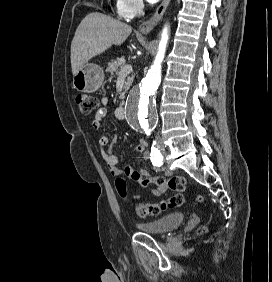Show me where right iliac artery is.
<instances>
[{"mask_svg":"<svg viewBox=\"0 0 272 282\" xmlns=\"http://www.w3.org/2000/svg\"><path fill=\"white\" fill-rule=\"evenodd\" d=\"M157 147L158 145L154 142L151 148V161L154 166L160 167L163 164V156Z\"/></svg>","mask_w":272,"mask_h":282,"instance_id":"1","label":"right iliac artery"}]
</instances>
